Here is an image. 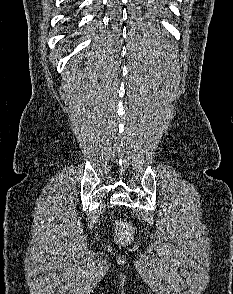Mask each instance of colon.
<instances>
[{"mask_svg": "<svg viewBox=\"0 0 233 294\" xmlns=\"http://www.w3.org/2000/svg\"><path fill=\"white\" fill-rule=\"evenodd\" d=\"M133 234V228L127 221L124 220H117L116 221V230H115V237L116 240L121 244L128 243Z\"/></svg>", "mask_w": 233, "mask_h": 294, "instance_id": "obj_1", "label": "colon"}]
</instances>
